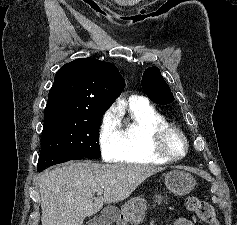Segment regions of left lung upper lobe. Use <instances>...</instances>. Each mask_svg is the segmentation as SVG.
I'll list each match as a JSON object with an SVG mask.
<instances>
[{"instance_id":"left-lung-upper-lobe-1","label":"left lung upper lobe","mask_w":237,"mask_h":225,"mask_svg":"<svg viewBox=\"0 0 237 225\" xmlns=\"http://www.w3.org/2000/svg\"><path fill=\"white\" fill-rule=\"evenodd\" d=\"M142 88L146 95L155 103L166 105L174 101L173 94L157 67L145 70Z\"/></svg>"}]
</instances>
